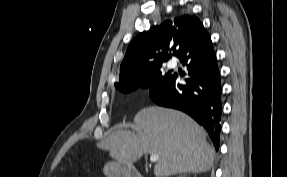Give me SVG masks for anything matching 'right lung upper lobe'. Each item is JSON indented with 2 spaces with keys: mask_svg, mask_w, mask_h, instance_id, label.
I'll list each match as a JSON object with an SVG mask.
<instances>
[{
  "mask_svg": "<svg viewBox=\"0 0 287 177\" xmlns=\"http://www.w3.org/2000/svg\"><path fill=\"white\" fill-rule=\"evenodd\" d=\"M203 30L205 28L197 17L184 15L138 34L127 48L119 81L114 85L137 82L167 61L171 51L178 57L185 44Z\"/></svg>",
  "mask_w": 287,
  "mask_h": 177,
  "instance_id": "1",
  "label": "right lung upper lobe"
}]
</instances>
